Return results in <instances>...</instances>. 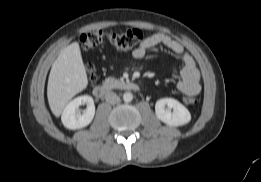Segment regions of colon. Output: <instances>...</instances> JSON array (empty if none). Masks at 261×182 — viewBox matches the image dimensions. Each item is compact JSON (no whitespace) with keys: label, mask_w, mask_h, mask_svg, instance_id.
Wrapping results in <instances>:
<instances>
[{"label":"colon","mask_w":261,"mask_h":182,"mask_svg":"<svg viewBox=\"0 0 261 182\" xmlns=\"http://www.w3.org/2000/svg\"><path fill=\"white\" fill-rule=\"evenodd\" d=\"M81 46L85 51L92 50L103 44H109L120 50H129L139 46L143 41V34L137 29L108 32L104 30L89 31L81 35ZM89 77L92 81L95 80V73L92 66H88ZM184 102L187 105H195L197 98L195 95L187 94L184 97Z\"/></svg>","instance_id":"1"}]
</instances>
